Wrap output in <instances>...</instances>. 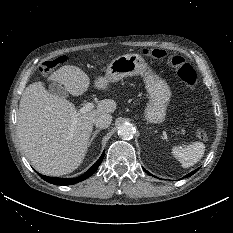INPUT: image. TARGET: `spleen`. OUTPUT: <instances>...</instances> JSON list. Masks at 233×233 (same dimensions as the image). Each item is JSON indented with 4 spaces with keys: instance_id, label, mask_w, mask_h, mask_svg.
Returning <instances> with one entry per match:
<instances>
[{
    "instance_id": "spleen-1",
    "label": "spleen",
    "mask_w": 233,
    "mask_h": 233,
    "mask_svg": "<svg viewBox=\"0 0 233 233\" xmlns=\"http://www.w3.org/2000/svg\"><path fill=\"white\" fill-rule=\"evenodd\" d=\"M205 151V145L202 142H194L186 148L174 147L173 155L180 161L183 168H189L200 161Z\"/></svg>"
}]
</instances>
